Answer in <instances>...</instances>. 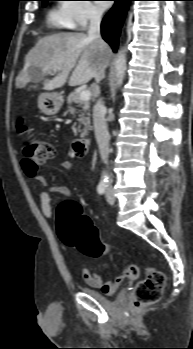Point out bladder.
<instances>
[{
	"label": "bladder",
	"instance_id": "obj_1",
	"mask_svg": "<svg viewBox=\"0 0 193 349\" xmlns=\"http://www.w3.org/2000/svg\"><path fill=\"white\" fill-rule=\"evenodd\" d=\"M84 291L101 304H109L110 303L109 298H107L104 295V293H102L101 291H99L97 289L86 287L84 289ZM123 297H124L123 293H120L118 296V298H123Z\"/></svg>",
	"mask_w": 193,
	"mask_h": 349
}]
</instances>
